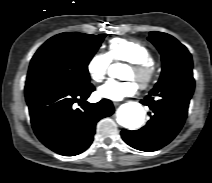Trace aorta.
<instances>
[{
  "label": "aorta",
  "instance_id": "aorta-1",
  "mask_svg": "<svg viewBox=\"0 0 212 183\" xmlns=\"http://www.w3.org/2000/svg\"><path fill=\"white\" fill-rule=\"evenodd\" d=\"M116 65L110 67L109 73L113 75ZM145 112L141 104L128 102L120 106L117 111V121L123 127L134 130L144 123Z\"/></svg>",
  "mask_w": 212,
  "mask_h": 183
}]
</instances>
